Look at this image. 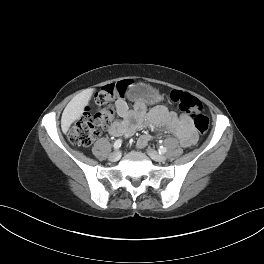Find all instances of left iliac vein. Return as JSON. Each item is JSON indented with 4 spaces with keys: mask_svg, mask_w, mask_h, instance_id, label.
Instances as JSON below:
<instances>
[{
    "mask_svg": "<svg viewBox=\"0 0 264 264\" xmlns=\"http://www.w3.org/2000/svg\"><path fill=\"white\" fill-rule=\"evenodd\" d=\"M149 156L157 162H165L166 161V157L164 155L159 154L157 151L153 150V149H148L147 150Z\"/></svg>",
    "mask_w": 264,
    "mask_h": 264,
    "instance_id": "1",
    "label": "left iliac vein"
}]
</instances>
